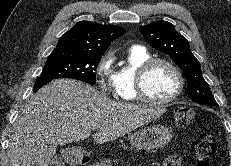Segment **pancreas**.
Wrapping results in <instances>:
<instances>
[{"label":"pancreas","mask_w":231,"mask_h":166,"mask_svg":"<svg viewBox=\"0 0 231 166\" xmlns=\"http://www.w3.org/2000/svg\"><path fill=\"white\" fill-rule=\"evenodd\" d=\"M113 162L117 164L119 160L115 159ZM92 166H112V161L110 159H103L94 163Z\"/></svg>","instance_id":"cf45deb5"}]
</instances>
